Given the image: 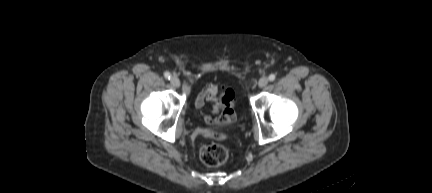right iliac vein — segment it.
Returning <instances> with one entry per match:
<instances>
[{
	"mask_svg": "<svg viewBox=\"0 0 432 193\" xmlns=\"http://www.w3.org/2000/svg\"><path fill=\"white\" fill-rule=\"evenodd\" d=\"M170 83L174 88H179L180 87V80L178 79V77L173 76L170 79Z\"/></svg>",
	"mask_w": 432,
	"mask_h": 193,
	"instance_id": "right-iliac-vein-1",
	"label": "right iliac vein"
}]
</instances>
